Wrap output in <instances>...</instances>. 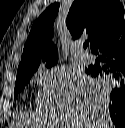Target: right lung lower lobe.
I'll return each mask as SVG.
<instances>
[{"label": "right lung lower lobe", "mask_w": 125, "mask_h": 128, "mask_svg": "<svg viewBox=\"0 0 125 128\" xmlns=\"http://www.w3.org/2000/svg\"><path fill=\"white\" fill-rule=\"evenodd\" d=\"M92 52L98 63L86 68L93 78L106 77L100 83L109 96V113L116 128H125V25L99 42Z\"/></svg>", "instance_id": "obj_1"}]
</instances>
